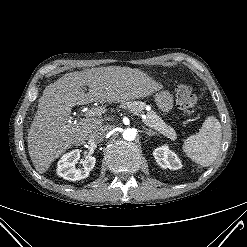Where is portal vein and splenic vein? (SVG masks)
Masks as SVG:
<instances>
[{
	"mask_svg": "<svg viewBox=\"0 0 247 247\" xmlns=\"http://www.w3.org/2000/svg\"><path fill=\"white\" fill-rule=\"evenodd\" d=\"M130 112L133 113L134 115L140 117V114H139L137 111L130 110ZM102 113H104L103 108H101V107H96V108H92V109L88 110V111L85 113V116H86V117L100 116V115H102ZM142 118H146V116H145V115H142Z\"/></svg>",
	"mask_w": 247,
	"mask_h": 247,
	"instance_id": "1",
	"label": "portal vein and splenic vein"
}]
</instances>
